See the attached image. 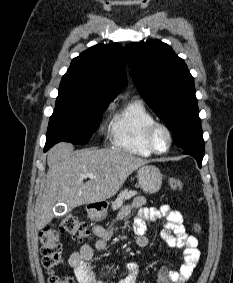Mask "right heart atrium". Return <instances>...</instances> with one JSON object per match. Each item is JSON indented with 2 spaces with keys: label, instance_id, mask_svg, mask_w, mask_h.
<instances>
[{
  "label": "right heart atrium",
  "instance_id": "1",
  "mask_svg": "<svg viewBox=\"0 0 233 283\" xmlns=\"http://www.w3.org/2000/svg\"><path fill=\"white\" fill-rule=\"evenodd\" d=\"M109 109H110V106L107 107V110H109Z\"/></svg>",
  "mask_w": 233,
  "mask_h": 283
}]
</instances>
